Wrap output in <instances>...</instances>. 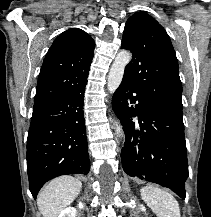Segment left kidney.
Returning <instances> with one entry per match:
<instances>
[{"instance_id":"1","label":"left kidney","mask_w":211,"mask_h":217,"mask_svg":"<svg viewBox=\"0 0 211 217\" xmlns=\"http://www.w3.org/2000/svg\"><path fill=\"white\" fill-rule=\"evenodd\" d=\"M141 210H142V211H145V208L142 206V207H141Z\"/></svg>"}]
</instances>
